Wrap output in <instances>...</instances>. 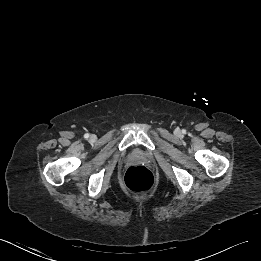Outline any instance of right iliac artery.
Returning a JSON list of instances; mask_svg holds the SVG:
<instances>
[{"label":"right iliac artery","instance_id":"1","mask_svg":"<svg viewBox=\"0 0 261 261\" xmlns=\"http://www.w3.org/2000/svg\"><path fill=\"white\" fill-rule=\"evenodd\" d=\"M84 138H85V139H88V138H89V134L86 133V134L84 135Z\"/></svg>","mask_w":261,"mask_h":261}]
</instances>
